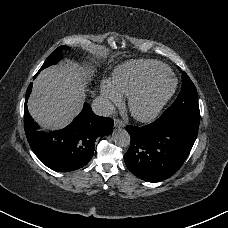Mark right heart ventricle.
<instances>
[{"instance_id":"obj_1","label":"right heart ventricle","mask_w":228,"mask_h":228,"mask_svg":"<svg viewBox=\"0 0 228 228\" xmlns=\"http://www.w3.org/2000/svg\"><path fill=\"white\" fill-rule=\"evenodd\" d=\"M170 70L159 62L137 61L120 66L114 74L113 85L131 97L148 82L165 79Z\"/></svg>"}]
</instances>
